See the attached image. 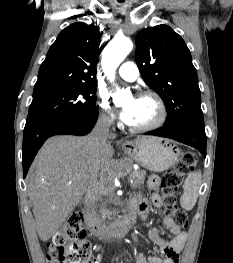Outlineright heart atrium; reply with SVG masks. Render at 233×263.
I'll use <instances>...</instances> for the list:
<instances>
[{
	"mask_svg": "<svg viewBox=\"0 0 233 263\" xmlns=\"http://www.w3.org/2000/svg\"><path fill=\"white\" fill-rule=\"evenodd\" d=\"M98 105L101 109L100 120L105 125H113L116 122L115 113L110 106L108 96L104 93L98 94Z\"/></svg>",
	"mask_w": 233,
	"mask_h": 263,
	"instance_id": "1",
	"label": "right heart atrium"
}]
</instances>
